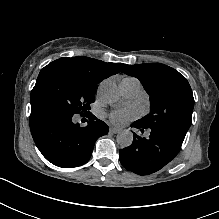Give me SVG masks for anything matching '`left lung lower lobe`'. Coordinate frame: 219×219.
I'll return each instance as SVG.
<instances>
[{"label": "left lung lower lobe", "mask_w": 219, "mask_h": 219, "mask_svg": "<svg viewBox=\"0 0 219 219\" xmlns=\"http://www.w3.org/2000/svg\"><path fill=\"white\" fill-rule=\"evenodd\" d=\"M131 126L142 133L144 130L150 133L147 138L134 133L133 143L119 151L122 166L139 175L157 172L172 161L179 153L185 138L176 132L147 128L138 121Z\"/></svg>", "instance_id": "0a47b994"}]
</instances>
